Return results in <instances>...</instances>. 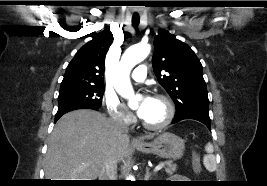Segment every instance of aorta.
I'll list each match as a JSON object with an SVG mask.
<instances>
[{
	"instance_id": "762f6f07",
	"label": "aorta",
	"mask_w": 267,
	"mask_h": 186,
	"mask_svg": "<svg viewBox=\"0 0 267 186\" xmlns=\"http://www.w3.org/2000/svg\"><path fill=\"white\" fill-rule=\"evenodd\" d=\"M150 45L137 44L128 48L123 54L119 65L115 71V89L119 95L129 99V103L135 102L134 91L130 82V71L132 68L143 61L150 53ZM127 180H133L130 176Z\"/></svg>"
}]
</instances>
